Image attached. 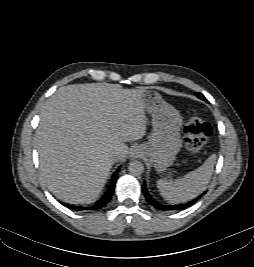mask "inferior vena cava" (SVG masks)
Segmentation results:
<instances>
[{"label": "inferior vena cava", "instance_id": "inferior-vena-cava-1", "mask_svg": "<svg viewBox=\"0 0 254 267\" xmlns=\"http://www.w3.org/2000/svg\"><path fill=\"white\" fill-rule=\"evenodd\" d=\"M118 155H119V154L117 153V154H116V157H115V161H117V160H118Z\"/></svg>", "mask_w": 254, "mask_h": 267}]
</instances>
